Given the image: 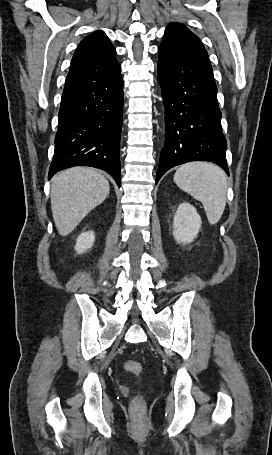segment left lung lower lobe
I'll return each mask as SVG.
<instances>
[{
  "mask_svg": "<svg viewBox=\"0 0 272 455\" xmlns=\"http://www.w3.org/2000/svg\"><path fill=\"white\" fill-rule=\"evenodd\" d=\"M157 69L165 108L166 139L156 183L170 168L197 160L213 162L229 175L227 142L211 65L171 66L159 59Z\"/></svg>",
  "mask_w": 272,
  "mask_h": 455,
  "instance_id": "0a47b994",
  "label": "left lung lower lobe"
}]
</instances>
